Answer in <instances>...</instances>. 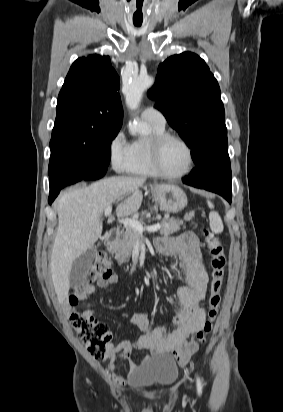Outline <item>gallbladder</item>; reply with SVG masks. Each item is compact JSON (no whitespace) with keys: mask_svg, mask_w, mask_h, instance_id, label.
Returning <instances> with one entry per match:
<instances>
[{"mask_svg":"<svg viewBox=\"0 0 283 412\" xmlns=\"http://www.w3.org/2000/svg\"><path fill=\"white\" fill-rule=\"evenodd\" d=\"M95 256L96 247H92L73 262L69 274L70 285L72 287L78 286L84 281L90 267L92 266Z\"/></svg>","mask_w":283,"mask_h":412,"instance_id":"bac80fb5","label":"gallbladder"}]
</instances>
